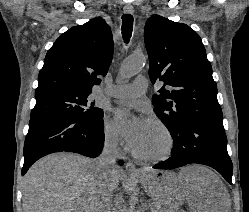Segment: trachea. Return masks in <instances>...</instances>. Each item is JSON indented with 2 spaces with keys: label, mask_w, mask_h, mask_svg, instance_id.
<instances>
[{
  "label": "trachea",
  "mask_w": 249,
  "mask_h": 212,
  "mask_svg": "<svg viewBox=\"0 0 249 212\" xmlns=\"http://www.w3.org/2000/svg\"><path fill=\"white\" fill-rule=\"evenodd\" d=\"M132 27H133V17L129 14H124L122 16V36L126 44H128L131 35H132Z\"/></svg>",
  "instance_id": "1"
}]
</instances>
